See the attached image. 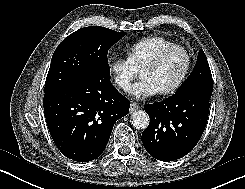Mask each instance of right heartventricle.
Instances as JSON below:
<instances>
[{"label":"right heart ventricle","instance_id":"obj_1","mask_svg":"<svg viewBox=\"0 0 245 189\" xmlns=\"http://www.w3.org/2000/svg\"><path fill=\"white\" fill-rule=\"evenodd\" d=\"M173 43L164 36L154 35L139 39L126 48V55L129 62L137 70L152 59L161 49Z\"/></svg>","mask_w":245,"mask_h":189}]
</instances>
